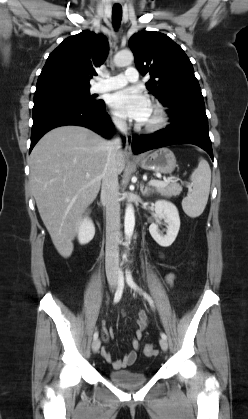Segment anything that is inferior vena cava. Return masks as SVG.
<instances>
[{
	"label": "inferior vena cava",
	"instance_id": "inferior-vena-cava-1",
	"mask_svg": "<svg viewBox=\"0 0 248 419\" xmlns=\"http://www.w3.org/2000/svg\"><path fill=\"white\" fill-rule=\"evenodd\" d=\"M113 123L119 132L126 135L124 120L113 118ZM121 145L120 137H114L107 143V160L102 173L101 200L106 207L105 265L107 275L112 277H117L119 268L120 202L116 157Z\"/></svg>",
	"mask_w": 248,
	"mask_h": 419
}]
</instances>
